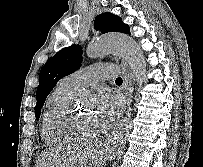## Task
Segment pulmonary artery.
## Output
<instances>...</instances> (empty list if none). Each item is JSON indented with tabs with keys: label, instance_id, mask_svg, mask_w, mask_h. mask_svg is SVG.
Instances as JSON below:
<instances>
[{
	"label": "pulmonary artery",
	"instance_id": "e3ab8cb5",
	"mask_svg": "<svg viewBox=\"0 0 203 167\" xmlns=\"http://www.w3.org/2000/svg\"><path fill=\"white\" fill-rule=\"evenodd\" d=\"M119 72L112 64H94L84 67L63 78L62 82L75 89H84L96 83L99 79L115 77Z\"/></svg>",
	"mask_w": 203,
	"mask_h": 167
}]
</instances>
